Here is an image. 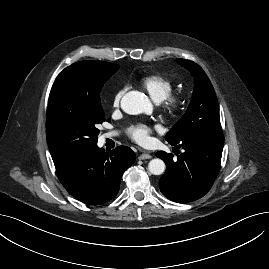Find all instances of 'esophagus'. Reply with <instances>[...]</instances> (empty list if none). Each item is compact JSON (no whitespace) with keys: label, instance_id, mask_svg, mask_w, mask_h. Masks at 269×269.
Listing matches in <instances>:
<instances>
[{"label":"esophagus","instance_id":"1","mask_svg":"<svg viewBox=\"0 0 269 269\" xmlns=\"http://www.w3.org/2000/svg\"><path fill=\"white\" fill-rule=\"evenodd\" d=\"M151 158H152V156H151L150 154H148V153H142V154L138 157L139 160H146V159H151Z\"/></svg>","mask_w":269,"mask_h":269}]
</instances>
